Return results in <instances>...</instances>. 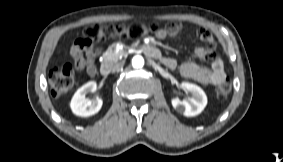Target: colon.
<instances>
[{
    "label": "colon",
    "mask_w": 283,
    "mask_h": 162,
    "mask_svg": "<svg viewBox=\"0 0 283 162\" xmlns=\"http://www.w3.org/2000/svg\"><path fill=\"white\" fill-rule=\"evenodd\" d=\"M159 30L157 25H115L107 27L101 23L89 25L84 30V39L89 43L100 42L109 36L122 38H139L147 33H156ZM50 91L53 97H60L68 92L74 84L73 68L70 64L57 65L53 67L48 75ZM232 91V83L225 79L216 88V95L219 99L227 98Z\"/></svg>",
    "instance_id": "5ec220e1"
}]
</instances>
